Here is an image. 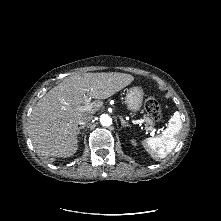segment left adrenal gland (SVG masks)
I'll list each match as a JSON object with an SVG mask.
<instances>
[{
  "label": "left adrenal gland",
  "mask_w": 221,
  "mask_h": 221,
  "mask_svg": "<svg viewBox=\"0 0 221 221\" xmlns=\"http://www.w3.org/2000/svg\"><path fill=\"white\" fill-rule=\"evenodd\" d=\"M119 118L123 127H130L128 122H126L123 117L120 116Z\"/></svg>",
  "instance_id": "1"
}]
</instances>
